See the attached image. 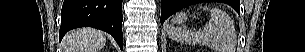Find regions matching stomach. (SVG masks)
I'll use <instances>...</instances> for the list:
<instances>
[{
	"instance_id": "stomach-1",
	"label": "stomach",
	"mask_w": 305,
	"mask_h": 52,
	"mask_svg": "<svg viewBox=\"0 0 305 52\" xmlns=\"http://www.w3.org/2000/svg\"><path fill=\"white\" fill-rule=\"evenodd\" d=\"M187 20V14L180 12L177 13L175 16L172 18V23L173 24H182Z\"/></svg>"
}]
</instances>
